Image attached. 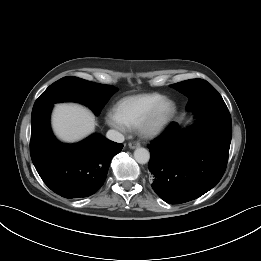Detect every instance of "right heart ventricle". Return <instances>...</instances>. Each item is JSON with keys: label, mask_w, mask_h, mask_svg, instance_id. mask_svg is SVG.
<instances>
[{"label": "right heart ventricle", "mask_w": 261, "mask_h": 261, "mask_svg": "<svg viewBox=\"0 0 261 261\" xmlns=\"http://www.w3.org/2000/svg\"><path fill=\"white\" fill-rule=\"evenodd\" d=\"M163 98L159 93H145L120 99L114 107L116 114L129 126L137 127L152 107Z\"/></svg>", "instance_id": "obj_1"}]
</instances>
